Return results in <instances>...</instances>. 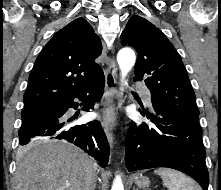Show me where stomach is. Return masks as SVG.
Here are the masks:
<instances>
[{"instance_id":"stomach-1","label":"stomach","mask_w":221,"mask_h":190,"mask_svg":"<svg viewBox=\"0 0 221 190\" xmlns=\"http://www.w3.org/2000/svg\"><path fill=\"white\" fill-rule=\"evenodd\" d=\"M135 184L139 187V188H146L149 186L150 184V180L147 177L144 176H136L135 177Z\"/></svg>"}]
</instances>
